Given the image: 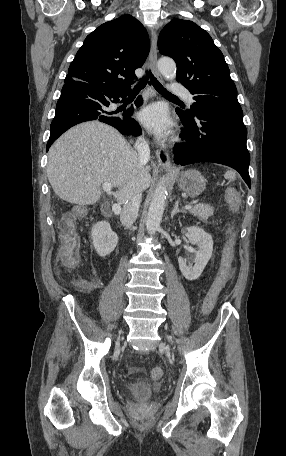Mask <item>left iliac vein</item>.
<instances>
[{"instance_id": "4c4485c4", "label": "left iliac vein", "mask_w": 286, "mask_h": 456, "mask_svg": "<svg viewBox=\"0 0 286 456\" xmlns=\"http://www.w3.org/2000/svg\"><path fill=\"white\" fill-rule=\"evenodd\" d=\"M167 339L171 342V338L167 335Z\"/></svg>"}]
</instances>
